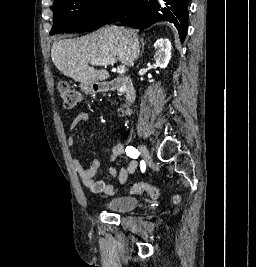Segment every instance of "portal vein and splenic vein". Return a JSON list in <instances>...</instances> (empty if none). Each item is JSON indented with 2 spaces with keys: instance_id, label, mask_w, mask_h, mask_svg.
<instances>
[{
  "instance_id": "portal-vein-and-splenic-vein-1",
  "label": "portal vein and splenic vein",
  "mask_w": 256,
  "mask_h": 267,
  "mask_svg": "<svg viewBox=\"0 0 256 267\" xmlns=\"http://www.w3.org/2000/svg\"><path fill=\"white\" fill-rule=\"evenodd\" d=\"M90 64H97V66H113L115 64L114 60H106V62H95V60H91ZM126 68L125 66H118L117 72L118 74H124Z\"/></svg>"
}]
</instances>
